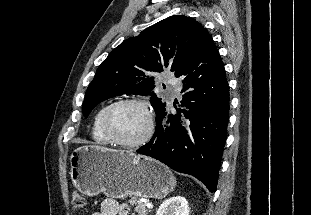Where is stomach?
Returning <instances> with one entry per match:
<instances>
[{"label":"stomach","instance_id":"obj_1","mask_svg":"<svg viewBox=\"0 0 311 215\" xmlns=\"http://www.w3.org/2000/svg\"><path fill=\"white\" fill-rule=\"evenodd\" d=\"M70 165L73 185L86 196L161 199L176 184L171 171L152 158L97 145L76 148Z\"/></svg>","mask_w":311,"mask_h":215}]
</instances>
